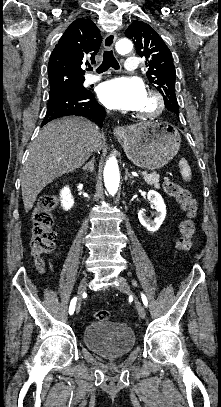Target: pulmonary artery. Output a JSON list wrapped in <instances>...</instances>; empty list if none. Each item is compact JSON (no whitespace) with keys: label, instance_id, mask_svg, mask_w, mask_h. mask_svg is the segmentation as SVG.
I'll use <instances>...</instances> for the list:
<instances>
[{"label":"pulmonary artery","instance_id":"e3ab8cb5","mask_svg":"<svg viewBox=\"0 0 221 407\" xmlns=\"http://www.w3.org/2000/svg\"><path fill=\"white\" fill-rule=\"evenodd\" d=\"M125 73L126 74H133L137 70V62L134 57H128L124 63ZM100 80L98 76H90L87 78V83H95Z\"/></svg>","mask_w":221,"mask_h":407}]
</instances>
